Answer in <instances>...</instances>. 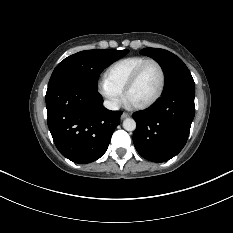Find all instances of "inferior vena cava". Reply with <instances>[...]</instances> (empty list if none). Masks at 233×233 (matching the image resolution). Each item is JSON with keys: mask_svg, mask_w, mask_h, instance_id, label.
Segmentation results:
<instances>
[{"mask_svg": "<svg viewBox=\"0 0 233 233\" xmlns=\"http://www.w3.org/2000/svg\"><path fill=\"white\" fill-rule=\"evenodd\" d=\"M104 107L114 111L119 109V105L117 102L108 100L104 101Z\"/></svg>", "mask_w": 233, "mask_h": 233, "instance_id": "inferior-vena-cava-1", "label": "inferior vena cava"}]
</instances>
